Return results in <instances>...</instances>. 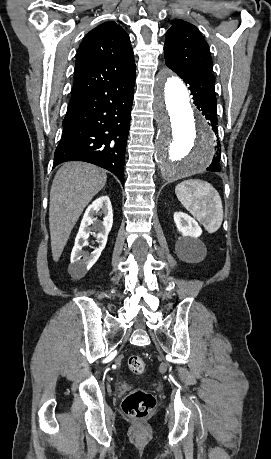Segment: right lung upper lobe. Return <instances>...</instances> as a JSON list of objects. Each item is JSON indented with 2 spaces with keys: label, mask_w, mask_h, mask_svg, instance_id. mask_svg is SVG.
I'll use <instances>...</instances> for the list:
<instances>
[{
  "label": "right lung upper lobe",
  "mask_w": 271,
  "mask_h": 459,
  "mask_svg": "<svg viewBox=\"0 0 271 459\" xmlns=\"http://www.w3.org/2000/svg\"><path fill=\"white\" fill-rule=\"evenodd\" d=\"M129 35L115 22L91 30L81 42L69 105L89 97L120 77L135 74Z\"/></svg>",
  "instance_id": "1"
}]
</instances>
